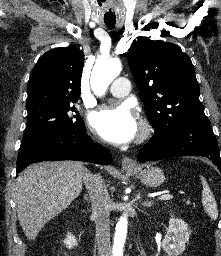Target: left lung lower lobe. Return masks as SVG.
Here are the masks:
<instances>
[{
    "mask_svg": "<svg viewBox=\"0 0 221 256\" xmlns=\"http://www.w3.org/2000/svg\"><path fill=\"white\" fill-rule=\"evenodd\" d=\"M180 156H203L221 171V158L210 121L182 123L155 132L138 154L139 161H156Z\"/></svg>",
    "mask_w": 221,
    "mask_h": 256,
    "instance_id": "0a47b994",
    "label": "left lung lower lobe"
}]
</instances>
